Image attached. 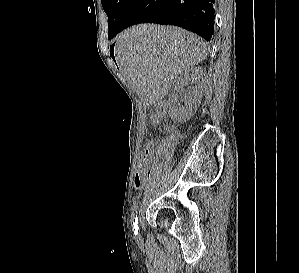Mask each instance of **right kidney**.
<instances>
[{
	"instance_id": "obj_1",
	"label": "right kidney",
	"mask_w": 299,
	"mask_h": 273,
	"mask_svg": "<svg viewBox=\"0 0 299 273\" xmlns=\"http://www.w3.org/2000/svg\"><path fill=\"white\" fill-rule=\"evenodd\" d=\"M206 76L202 67H191L176 77L173 84V92L168 103L169 109L176 112L181 121L188 120L197 110L203 93V85L200 80ZM197 81V85H191ZM182 85H186V92L178 101V92Z\"/></svg>"
}]
</instances>
